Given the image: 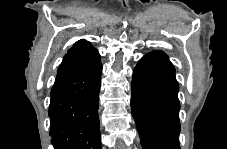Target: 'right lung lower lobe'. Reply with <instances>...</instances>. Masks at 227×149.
I'll use <instances>...</instances> for the list:
<instances>
[{
    "instance_id": "1",
    "label": "right lung lower lobe",
    "mask_w": 227,
    "mask_h": 149,
    "mask_svg": "<svg viewBox=\"0 0 227 149\" xmlns=\"http://www.w3.org/2000/svg\"><path fill=\"white\" fill-rule=\"evenodd\" d=\"M100 57L57 73L48 110L54 149H101Z\"/></svg>"
}]
</instances>
